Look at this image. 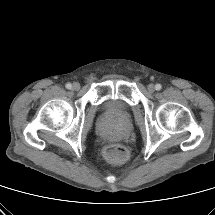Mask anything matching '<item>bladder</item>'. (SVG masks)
I'll use <instances>...</instances> for the list:
<instances>
[{
    "mask_svg": "<svg viewBox=\"0 0 215 215\" xmlns=\"http://www.w3.org/2000/svg\"><path fill=\"white\" fill-rule=\"evenodd\" d=\"M103 110L111 115L121 116L128 110V106L121 100L108 99L102 104Z\"/></svg>",
    "mask_w": 215,
    "mask_h": 215,
    "instance_id": "1",
    "label": "bladder"
}]
</instances>
